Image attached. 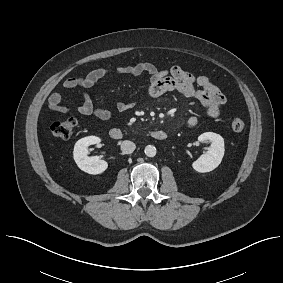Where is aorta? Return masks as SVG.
Segmentation results:
<instances>
[{
  "label": "aorta",
  "mask_w": 283,
  "mask_h": 283,
  "mask_svg": "<svg viewBox=\"0 0 283 283\" xmlns=\"http://www.w3.org/2000/svg\"><path fill=\"white\" fill-rule=\"evenodd\" d=\"M145 154L148 157H154L156 155V147L153 145H147L145 147Z\"/></svg>",
  "instance_id": "762f6f07"
}]
</instances>
